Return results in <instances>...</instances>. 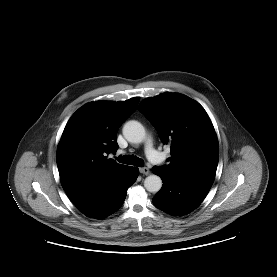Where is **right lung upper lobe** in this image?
I'll list each match as a JSON object with an SVG mask.
<instances>
[{"label": "right lung upper lobe", "instance_id": "cb5924a9", "mask_svg": "<svg viewBox=\"0 0 277 277\" xmlns=\"http://www.w3.org/2000/svg\"><path fill=\"white\" fill-rule=\"evenodd\" d=\"M139 100L91 102L69 119L58 145L57 166L72 202L91 195L126 167L107 154L117 150V131Z\"/></svg>", "mask_w": 277, "mask_h": 277}]
</instances>
